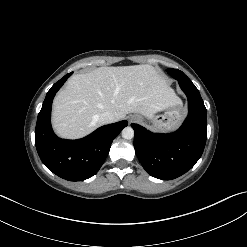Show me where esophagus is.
<instances>
[{
	"label": "esophagus",
	"mask_w": 247,
	"mask_h": 247,
	"mask_svg": "<svg viewBox=\"0 0 247 247\" xmlns=\"http://www.w3.org/2000/svg\"><path fill=\"white\" fill-rule=\"evenodd\" d=\"M137 119L135 118V117H131L130 119H129V121L130 122H134V121H136Z\"/></svg>",
	"instance_id": "1"
}]
</instances>
